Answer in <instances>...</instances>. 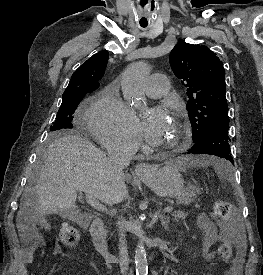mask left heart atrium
<instances>
[{
  "label": "left heart atrium",
  "instance_id": "left-heart-atrium-1",
  "mask_svg": "<svg viewBox=\"0 0 263 275\" xmlns=\"http://www.w3.org/2000/svg\"><path fill=\"white\" fill-rule=\"evenodd\" d=\"M169 123V117L165 110L157 108L150 111L141 125L145 139L150 143H156Z\"/></svg>",
  "mask_w": 263,
  "mask_h": 275
}]
</instances>
